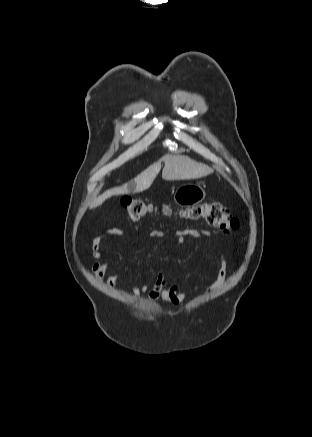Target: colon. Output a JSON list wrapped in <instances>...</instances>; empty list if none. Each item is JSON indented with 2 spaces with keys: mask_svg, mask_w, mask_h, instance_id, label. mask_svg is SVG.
<instances>
[{
  "mask_svg": "<svg viewBox=\"0 0 312 437\" xmlns=\"http://www.w3.org/2000/svg\"><path fill=\"white\" fill-rule=\"evenodd\" d=\"M122 207L127 211L132 221H140L152 211V204L143 199L123 197ZM165 212H169L165 208ZM183 215L194 220H205L209 225L218 228L221 232L228 234L239 226L238 219L234 217L229 209L217 201L205 202L183 211Z\"/></svg>",
  "mask_w": 312,
  "mask_h": 437,
  "instance_id": "obj_1",
  "label": "colon"
}]
</instances>
